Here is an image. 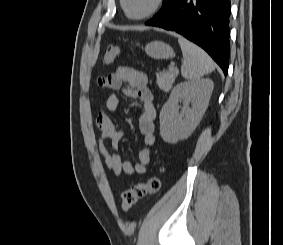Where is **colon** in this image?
<instances>
[{
	"label": "colon",
	"instance_id": "obj_1",
	"mask_svg": "<svg viewBox=\"0 0 283 245\" xmlns=\"http://www.w3.org/2000/svg\"><path fill=\"white\" fill-rule=\"evenodd\" d=\"M121 53L120 48L116 46L108 47L102 57L104 65L111 64ZM161 189V180L158 175L151 176L145 182H138L121 194V207L124 212H129L134 205L143 197L155 194Z\"/></svg>",
	"mask_w": 283,
	"mask_h": 245
}]
</instances>
